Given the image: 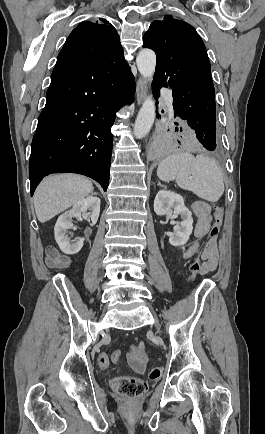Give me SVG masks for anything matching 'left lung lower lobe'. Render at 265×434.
<instances>
[{"instance_id": "1", "label": "left lung lower lobe", "mask_w": 265, "mask_h": 434, "mask_svg": "<svg viewBox=\"0 0 265 434\" xmlns=\"http://www.w3.org/2000/svg\"><path fill=\"white\" fill-rule=\"evenodd\" d=\"M153 87V93H154V97L155 99H157L159 97V90L160 88L152 85ZM174 117H179V114L177 112H175ZM195 130L196 133V137L199 141V147L200 150L204 153H217L221 150V143L219 141V136L217 133V128L215 127H211V126H207V127H196V128H192ZM180 143V142H178ZM158 147L160 150L164 151V152H168L170 150H177L179 149V147H177L174 143H172L169 140H161L158 143Z\"/></svg>"}]
</instances>
